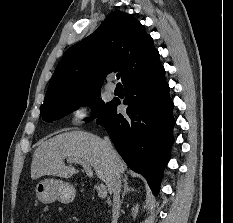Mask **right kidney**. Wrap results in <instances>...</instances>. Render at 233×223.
<instances>
[{"label":"right kidney","instance_id":"ca27d5eb","mask_svg":"<svg viewBox=\"0 0 233 223\" xmlns=\"http://www.w3.org/2000/svg\"><path fill=\"white\" fill-rule=\"evenodd\" d=\"M138 211H139V205H138V203H136V205H134V207H132V211H131V213H132L134 219H135V217H136Z\"/></svg>","mask_w":233,"mask_h":223}]
</instances>
